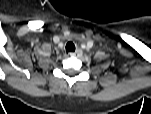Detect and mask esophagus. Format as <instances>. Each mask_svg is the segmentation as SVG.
<instances>
[{
  "mask_svg": "<svg viewBox=\"0 0 151 114\" xmlns=\"http://www.w3.org/2000/svg\"><path fill=\"white\" fill-rule=\"evenodd\" d=\"M81 54H82V51L80 49H77L75 52H71L70 56L76 57V56H79Z\"/></svg>",
  "mask_w": 151,
  "mask_h": 114,
  "instance_id": "obj_1",
  "label": "esophagus"
}]
</instances>
